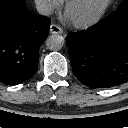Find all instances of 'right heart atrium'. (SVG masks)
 Listing matches in <instances>:
<instances>
[{
    "label": "right heart atrium",
    "instance_id": "1",
    "mask_svg": "<svg viewBox=\"0 0 128 128\" xmlns=\"http://www.w3.org/2000/svg\"><path fill=\"white\" fill-rule=\"evenodd\" d=\"M42 11L49 13L60 8L61 0H35Z\"/></svg>",
    "mask_w": 128,
    "mask_h": 128
}]
</instances>
